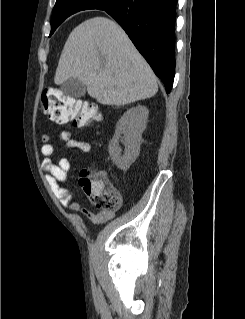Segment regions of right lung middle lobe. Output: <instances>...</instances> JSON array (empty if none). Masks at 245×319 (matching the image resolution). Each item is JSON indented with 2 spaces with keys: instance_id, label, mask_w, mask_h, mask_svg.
<instances>
[{
  "instance_id": "obj_1",
  "label": "right lung middle lobe",
  "mask_w": 245,
  "mask_h": 319,
  "mask_svg": "<svg viewBox=\"0 0 245 319\" xmlns=\"http://www.w3.org/2000/svg\"><path fill=\"white\" fill-rule=\"evenodd\" d=\"M121 1L122 0H82L81 2H71L67 0H58L53 9L50 36L68 16L72 15L73 5L81 7L82 10L106 9L119 4Z\"/></svg>"
}]
</instances>
